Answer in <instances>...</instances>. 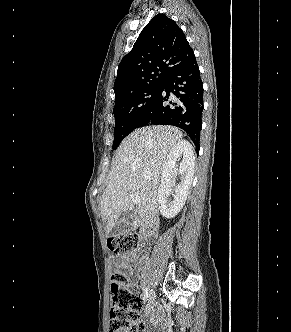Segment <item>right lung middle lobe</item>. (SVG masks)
Here are the masks:
<instances>
[{
	"label": "right lung middle lobe",
	"instance_id": "1",
	"mask_svg": "<svg viewBox=\"0 0 291 332\" xmlns=\"http://www.w3.org/2000/svg\"><path fill=\"white\" fill-rule=\"evenodd\" d=\"M162 83H153L115 100L113 149L117 148L121 141L137 128L144 112L157 97Z\"/></svg>",
	"mask_w": 291,
	"mask_h": 332
}]
</instances>
